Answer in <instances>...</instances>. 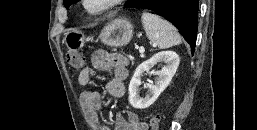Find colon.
I'll list each match as a JSON object with an SVG mask.
<instances>
[{
  "label": "colon",
  "mask_w": 257,
  "mask_h": 130,
  "mask_svg": "<svg viewBox=\"0 0 257 130\" xmlns=\"http://www.w3.org/2000/svg\"><path fill=\"white\" fill-rule=\"evenodd\" d=\"M84 60L83 55L79 52L71 51L67 54V62L75 71H82L84 69ZM150 130H160L159 116H153L150 119Z\"/></svg>",
  "instance_id": "obj_1"
}]
</instances>
